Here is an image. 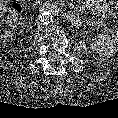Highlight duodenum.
I'll return each mask as SVG.
<instances>
[{
  "instance_id": "obj_1",
  "label": "duodenum",
  "mask_w": 118,
  "mask_h": 118,
  "mask_svg": "<svg viewBox=\"0 0 118 118\" xmlns=\"http://www.w3.org/2000/svg\"><path fill=\"white\" fill-rule=\"evenodd\" d=\"M39 10L42 12H54L60 14L65 20H67L71 25L79 27L81 25V19L66 10L63 6L55 2H45L38 6Z\"/></svg>"
}]
</instances>
